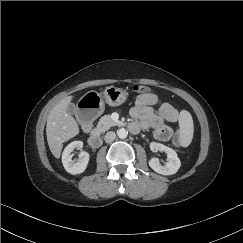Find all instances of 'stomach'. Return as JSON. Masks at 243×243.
<instances>
[{
	"label": "stomach",
	"mask_w": 243,
	"mask_h": 243,
	"mask_svg": "<svg viewBox=\"0 0 243 243\" xmlns=\"http://www.w3.org/2000/svg\"><path fill=\"white\" fill-rule=\"evenodd\" d=\"M128 93L121 88L109 86L105 88L103 94L96 91H89L79 100V108H88L94 111L95 116H99L105 109V103L115 107L123 104L127 99Z\"/></svg>",
	"instance_id": "1"
}]
</instances>
